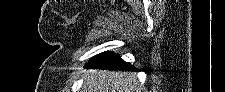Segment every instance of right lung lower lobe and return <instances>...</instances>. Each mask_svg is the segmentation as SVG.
<instances>
[{"instance_id":"right-lung-lower-lobe-1","label":"right lung lower lobe","mask_w":225,"mask_h":92,"mask_svg":"<svg viewBox=\"0 0 225 92\" xmlns=\"http://www.w3.org/2000/svg\"><path fill=\"white\" fill-rule=\"evenodd\" d=\"M85 68L137 71L134 66L123 61L119 55L114 53L108 54L107 56L89 64Z\"/></svg>"}]
</instances>
